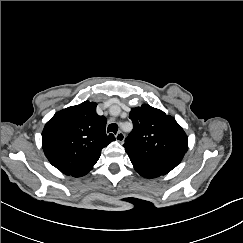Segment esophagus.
<instances>
[{"label": "esophagus", "instance_id": "34e87169", "mask_svg": "<svg viewBox=\"0 0 243 243\" xmlns=\"http://www.w3.org/2000/svg\"><path fill=\"white\" fill-rule=\"evenodd\" d=\"M115 138L118 142L122 143L125 139V135L123 132L119 131L116 135Z\"/></svg>", "mask_w": 243, "mask_h": 243}]
</instances>
